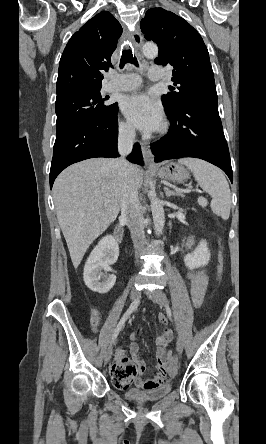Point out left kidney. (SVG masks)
<instances>
[{
    "label": "left kidney",
    "instance_id": "obj_1",
    "mask_svg": "<svg viewBox=\"0 0 266 444\" xmlns=\"http://www.w3.org/2000/svg\"><path fill=\"white\" fill-rule=\"evenodd\" d=\"M210 260V252L207 242L201 240L196 249L185 256L184 262L189 269L198 268L207 265Z\"/></svg>",
    "mask_w": 266,
    "mask_h": 444
}]
</instances>
